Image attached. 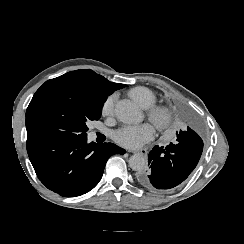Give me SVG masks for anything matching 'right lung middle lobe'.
<instances>
[{
    "mask_svg": "<svg viewBox=\"0 0 244 244\" xmlns=\"http://www.w3.org/2000/svg\"><path fill=\"white\" fill-rule=\"evenodd\" d=\"M106 98L91 82L79 77L64 74L48 80L27 108V134L86 137V123L100 119Z\"/></svg>",
    "mask_w": 244,
    "mask_h": 244,
    "instance_id": "dd1d6c3e",
    "label": "right lung middle lobe"
}]
</instances>
